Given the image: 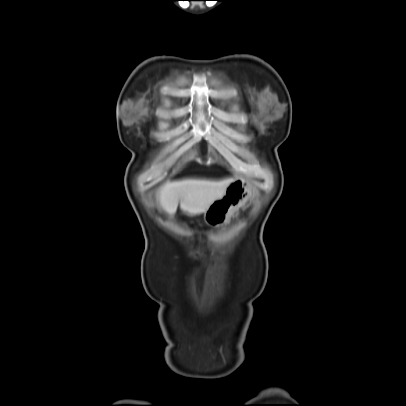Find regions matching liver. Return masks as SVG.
<instances>
[{
	"instance_id": "1",
	"label": "liver",
	"mask_w": 406,
	"mask_h": 406,
	"mask_svg": "<svg viewBox=\"0 0 406 406\" xmlns=\"http://www.w3.org/2000/svg\"><path fill=\"white\" fill-rule=\"evenodd\" d=\"M233 178L222 180L183 179L167 182L159 190L158 202L160 207L173 216L178 204L188 215L195 216L204 213L216 200L223 197Z\"/></svg>"
}]
</instances>
